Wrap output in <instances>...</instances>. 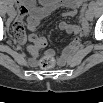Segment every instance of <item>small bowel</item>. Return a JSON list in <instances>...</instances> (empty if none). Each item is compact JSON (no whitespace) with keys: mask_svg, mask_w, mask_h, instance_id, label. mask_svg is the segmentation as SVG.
Wrapping results in <instances>:
<instances>
[{"mask_svg":"<svg viewBox=\"0 0 103 103\" xmlns=\"http://www.w3.org/2000/svg\"><path fill=\"white\" fill-rule=\"evenodd\" d=\"M15 5L19 11V17L13 23V38L17 44L26 45L27 36L25 29L22 24V18L28 15L27 18V29L31 32L28 36V40L31 42L30 45H26V49L30 54L28 60L31 66H36L39 58L42 55V50L47 45V40L44 36L36 32V29L40 21L51 14L53 11L65 8L66 11L63 13L65 17L75 16L80 12L79 21L77 24H71L67 22H61L59 27L61 30L68 34L75 36H84L89 32L88 24V7L85 3L80 0H65V1H54L46 0L37 5L34 1H10L9 8L12 10ZM89 7H91L89 5ZM80 45V39L74 37L57 55V61L59 64H65L70 57L74 54ZM47 55H53L52 50L46 51Z\"/></svg>","mask_w":103,"mask_h":103,"instance_id":"small-bowel-1","label":"small bowel"}]
</instances>
